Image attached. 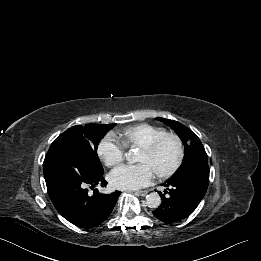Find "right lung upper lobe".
Segmentation results:
<instances>
[{
  "mask_svg": "<svg viewBox=\"0 0 261 261\" xmlns=\"http://www.w3.org/2000/svg\"><path fill=\"white\" fill-rule=\"evenodd\" d=\"M102 125H106V124H102ZM115 124H110V125H106V126H114Z\"/></svg>",
  "mask_w": 261,
  "mask_h": 261,
  "instance_id": "right-lung-upper-lobe-1",
  "label": "right lung upper lobe"
}]
</instances>
